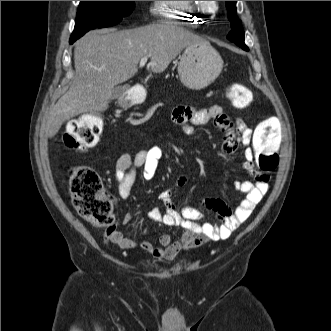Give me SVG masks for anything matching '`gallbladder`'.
Wrapping results in <instances>:
<instances>
[{"mask_svg":"<svg viewBox=\"0 0 331 331\" xmlns=\"http://www.w3.org/2000/svg\"><path fill=\"white\" fill-rule=\"evenodd\" d=\"M126 91V87L125 86H116L113 89V93H112V99H119L121 98Z\"/></svg>","mask_w":331,"mask_h":331,"instance_id":"1","label":"gallbladder"}]
</instances>
